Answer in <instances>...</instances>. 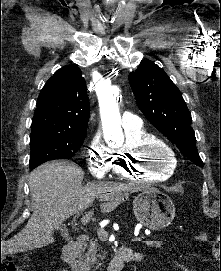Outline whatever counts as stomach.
I'll return each mask as SVG.
<instances>
[{
  "mask_svg": "<svg viewBox=\"0 0 221 271\" xmlns=\"http://www.w3.org/2000/svg\"><path fill=\"white\" fill-rule=\"evenodd\" d=\"M133 211L137 221L149 229H163L170 225L175 215V205L161 191H140L133 201Z\"/></svg>",
  "mask_w": 221,
  "mask_h": 271,
  "instance_id": "1",
  "label": "stomach"
}]
</instances>
